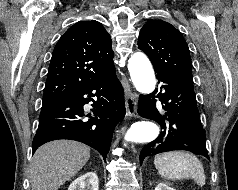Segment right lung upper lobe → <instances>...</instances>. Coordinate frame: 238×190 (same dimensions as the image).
Segmentation results:
<instances>
[{"label": "right lung upper lobe", "mask_w": 238, "mask_h": 190, "mask_svg": "<svg viewBox=\"0 0 238 190\" xmlns=\"http://www.w3.org/2000/svg\"><path fill=\"white\" fill-rule=\"evenodd\" d=\"M110 35L98 21L72 25L57 42L45 83L43 105L60 101L115 70Z\"/></svg>", "instance_id": "obj_1"}]
</instances>
